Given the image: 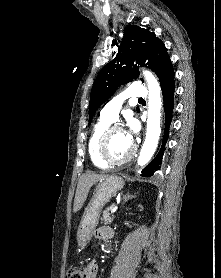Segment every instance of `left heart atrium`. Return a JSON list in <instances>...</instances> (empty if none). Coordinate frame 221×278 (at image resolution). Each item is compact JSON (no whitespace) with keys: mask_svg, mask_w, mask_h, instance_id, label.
I'll use <instances>...</instances> for the list:
<instances>
[{"mask_svg":"<svg viewBox=\"0 0 221 278\" xmlns=\"http://www.w3.org/2000/svg\"><path fill=\"white\" fill-rule=\"evenodd\" d=\"M137 126H136V124L135 123H130V125H129V130L128 131H125V133H126V137H127V139L129 140V142L130 143H132L133 142V139H134V137H135V135H136V133H137Z\"/></svg>","mask_w":221,"mask_h":278,"instance_id":"1","label":"left heart atrium"}]
</instances>
